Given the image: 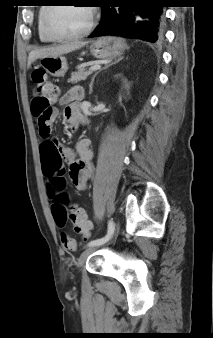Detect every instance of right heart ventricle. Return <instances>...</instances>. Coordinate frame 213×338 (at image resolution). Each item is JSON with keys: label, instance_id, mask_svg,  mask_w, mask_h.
Returning <instances> with one entry per match:
<instances>
[{"label": "right heart ventricle", "instance_id": "e07e8e85", "mask_svg": "<svg viewBox=\"0 0 213 338\" xmlns=\"http://www.w3.org/2000/svg\"><path fill=\"white\" fill-rule=\"evenodd\" d=\"M47 9H48V6H46V4H45V6H40L39 11H38L37 27H38L39 38L42 42H50L51 41L45 36L43 29H42L43 18H44V15H45Z\"/></svg>", "mask_w": 213, "mask_h": 338}]
</instances>
